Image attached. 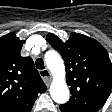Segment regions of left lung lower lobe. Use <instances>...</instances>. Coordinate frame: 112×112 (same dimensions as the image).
<instances>
[{
    "label": "left lung lower lobe",
    "instance_id": "obj_1",
    "mask_svg": "<svg viewBox=\"0 0 112 112\" xmlns=\"http://www.w3.org/2000/svg\"><path fill=\"white\" fill-rule=\"evenodd\" d=\"M61 111H62V112H68V111H66V110H63V109H61Z\"/></svg>",
    "mask_w": 112,
    "mask_h": 112
}]
</instances>
